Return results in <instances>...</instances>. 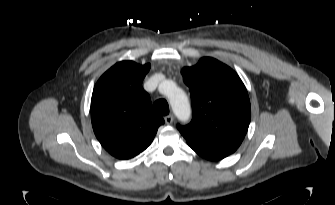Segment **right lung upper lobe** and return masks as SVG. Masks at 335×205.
Segmentation results:
<instances>
[{
    "mask_svg": "<svg viewBox=\"0 0 335 205\" xmlns=\"http://www.w3.org/2000/svg\"><path fill=\"white\" fill-rule=\"evenodd\" d=\"M150 64L122 61L96 83L91 99V120L101 145L118 159H130L153 141L164 119L151 109L142 88Z\"/></svg>",
    "mask_w": 335,
    "mask_h": 205,
    "instance_id": "1",
    "label": "right lung upper lobe"
}]
</instances>
